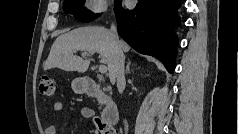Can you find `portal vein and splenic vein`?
<instances>
[{
	"mask_svg": "<svg viewBox=\"0 0 239 134\" xmlns=\"http://www.w3.org/2000/svg\"><path fill=\"white\" fill-rule=\"evenodd\" d=\"M82 55L83 56H90V54L87 53V52H83ZM99 72L102 73V74L106 73L107 72V67L105 65H100L99 66Z\"/></svg>",
	"mask_w": 239,
	"mask_h": 134,
	"instance_id": "18ae733b",
	"label": "portal vein and splenic vein"
}]
</instances>
